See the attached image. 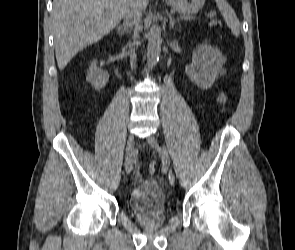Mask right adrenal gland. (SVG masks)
<instances>
[{
    "label": "right adrenal gland",
    "mask_w": 295,
    "mask_h": 250,
    "mask_svg": "<svg viewBox=\"0 0 295 250\" xmlns=\"http://www.w3.org/2000/svg\"><path fill=\"white\" fill-rule=\"evenodd\" d=\"M128 31V27H124L123 32H127Z\"/></svg>",
    "instance_id": "obj_1"
}]
</instances>
